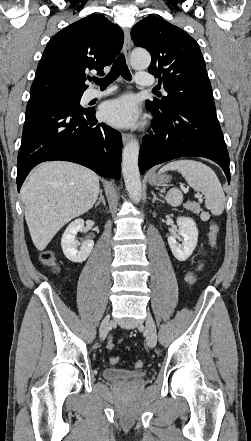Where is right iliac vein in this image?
I'll return each mask as SVG.
<instances>
[{"mask_svg": "<svg viewBox=\"0 0 251 441\" xmlns=\"http://www.w3.org/2000/svg\"><path fill=\"white\" fill-rule=\"evenodd\" d=\"M110 326H111V320H110V316L108 315L103 319L100 325L99 331H100L101 340H104L106 338Z\"/></svg>", "mask_w": 251, "mask_h": 441, "instance_id": "right-iliac-vein-1", "label": "right iliac vein"}]
</instances>
